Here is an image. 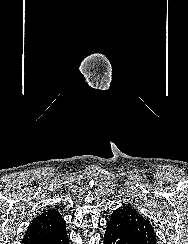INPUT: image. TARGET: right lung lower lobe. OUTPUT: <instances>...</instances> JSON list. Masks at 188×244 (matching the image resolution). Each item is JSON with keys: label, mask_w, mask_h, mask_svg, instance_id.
<instances>
[{"label": "right lung lower lobe", "mask_w": 188, "mask_h": 244, "mask_svg": "<svg viewBox=\"0 0 188 244\" xmlns=\"http://www.w3.org/2000/svg\"><path fill=\"white\" fill-rule=\"evenodd\" d=\"M27 244H69L66 226L35 238L27 242Z\"/></svg>", "instance_id": "98d812e1"}]
</instances>
